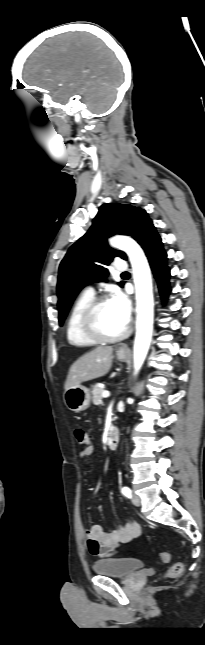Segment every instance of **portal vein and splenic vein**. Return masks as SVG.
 <instances>
[{
	"label": "portal vein and splenic vein",
	"mask_w": 205,
	"mask_h": 645,
	"mask_svg": "<svg viewBox=\"0 0 205 645\" xmlns=\"http://www.w3.org/2000/svg\"><path fill=\"white\" fill-rule=\"evenodd\" d=\"M102 396H103L104 398L109 397V396H110L109 391H103Z\"/></svg>",
	"instance_id": "obj_1"
}]
</instances>
